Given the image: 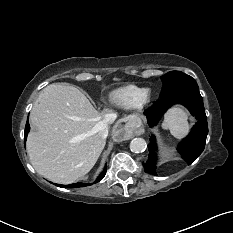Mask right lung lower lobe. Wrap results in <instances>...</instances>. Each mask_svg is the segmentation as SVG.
I'll list each match as a JSON object with an SVG mask.
<instances>
[{
	"label": "right lung lower lobe",
	"mask_w": 233,
	"mask_h": 233,
	"mask_svg": "<svg viewBox=\"0 0 233 233\" xmlns=\"http://www.w3.org/2000/svg\"><path fill=\"white\" fill-rule=\"evenodd\" d=\"M29 130H30V125H29V122L27 121L26 127H25V132H24V143L26 141ZM106 170H107V168L105 167L103 172L100 174V176L95 181V183L99 182L100 179H102L105 176ZM87 185H91V184L90 183H88V184H86V183H74L71 185H57V186L62 187V188H75V187H85Z\"/></svg>",
	"instance_id": "obj_1"
}]
</instances>
